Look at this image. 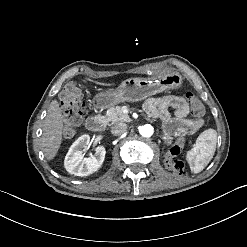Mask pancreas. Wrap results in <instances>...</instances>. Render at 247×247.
<instances>
[{
	"label": "pancreas",
	"instance_id": "1",
	"mask_svg": "<svg viewBox=\"0 0 247 247\" xmlns=\"http://www.w3.org/2000/svg\"><path fill=\"white\" fill-rule=\"evenodd\" d=\"M106 118L108 121L113 123L129 120L128 114L123 113L120 106L110 107L107 110Z\"/></svg>",
	"mask_w": 247,
	"mask_h": 247
}]
</instances>
